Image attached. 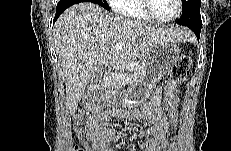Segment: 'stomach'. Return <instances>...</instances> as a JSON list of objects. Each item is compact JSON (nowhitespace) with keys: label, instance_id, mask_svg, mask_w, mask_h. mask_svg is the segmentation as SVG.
Here are the masks:
<instances>
[{"label":"stomach","instance_id":"obj_1","mask_svg":"<svg viewBox=\"0 0 231 151\" xmlns=\"http://www.w3.org/2000/svg\"><path fill=\"white\" fill-rule=\"evenodd\" d=\"M181 48L176 42L157 45L147 52L140 60V74L138 79L129 85L124 93L109 90L106 94L110 100L120 96L125 105L138 106L145 102L157 82L180 59Z\"/></svg>","mask_w":231,"mask_h":151}]
</instances>
